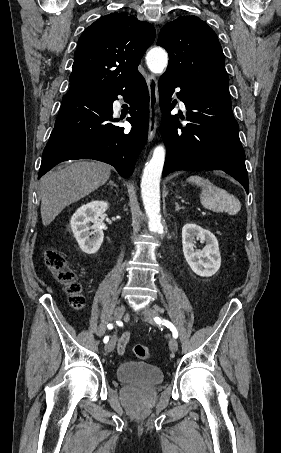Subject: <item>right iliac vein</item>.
Segmentation results:
<instances>
[{
    "instance_id": "63e3f726",
    "label": "right iliac vein",
    "mask_w": 281,
    "mask_h": 453,
    "mask_svg": "<svg viewBox=\"0 0 281 453\" xmlns=\"http://www.w3.org/2000/svg\"><path fill=\"white\" fill-rule=\"evenodd\" d=\"M124 312V306L122 304H119L114 312V319L116 321H119L123 315ZM116 347V339L112 337L110 341L107 342V345L105 346V351L106 352H111V350L114 351V348Z\"/></svg>"
}]
</instances>
